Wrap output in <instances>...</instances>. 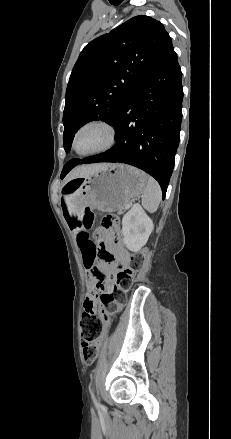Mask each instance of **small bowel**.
I'll use <instances>...</instances> for the list:
<instances>
[{
	"label": "small bowel",
	"instance_id": "1",
	"mask_svg": "<svg viewBox=\"0 0 231 439\" xmlns=\"http://www.w3.org/2000/svg\"><path fill=\"white\" fill-rule=\"evenodd\" d=\"M99 234H105L107 237H110V233L108 230L99 229ZM75 235L77 239L78 247L81 251L82 257L86 253L87 249H95L97 246L90 238L89 232L84 227H75ZM99 255L101 256V262L95 266L98 271L105 273L107 275H112L114 273V266L109 262L105 255H109L111 258L115 257L119 262H123L126 256L125 251L121 247H114L110 244H104L101 242L98 246ZM110 287V282H100L96 278L93 270H89V275L87 277V288L88 294L84 301V309H93L96 310L100 307V300L98 296L99 291H103ZM96 347L100 348L102 345V340H98L94 344Z\"/></svg>",
	"mask_w": 231,
	"mask_h": 439
}]
</instances>
